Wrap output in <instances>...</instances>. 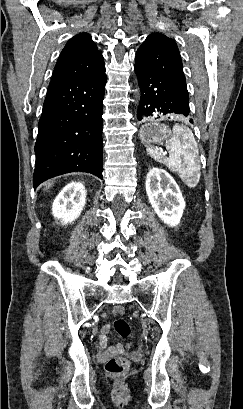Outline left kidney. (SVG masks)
<instances>
[{
	"label": "left kidney",
	"instance_id": "5707ae66",
	"mask_svg": "<svg viewBox=\"0 0 243 409\" xmlns=\"http://www.w3.org/2000/svg\"><path fill=\"white\" fill-rule=\"evenodd\" d=\"M146 193L158 217L174 227L180 223L185 201L173 177L165 170L152 168L146 177Z\"/></svg>",
	"mask_w": 243,
	"mask_h": 409
}]
</instances>
